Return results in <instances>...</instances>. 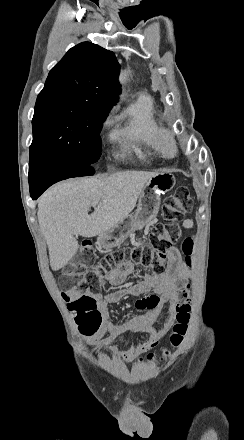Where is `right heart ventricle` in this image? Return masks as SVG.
Instances as JSON below:
<instances>
[{"label": "right heart ventricle", "mask_w": 244, "mask_h": 440, "mask_svg": "<svg viewBox=\"0 0 244 440\" xmlns=\"http://www.w3.org/2000/svg\"><path fill=\"white\" fill-rule=\"evenodd\" d=\"M120 132L128 139L131 137L134 141H141L151 148H158L161 143L156 140L161 138L162 130L154 120L152 100L141 102L138 99L118 115L110 139L116 141L123 137Z\"/></svg>", "instance_id": "obj_1"}]
</instances>
